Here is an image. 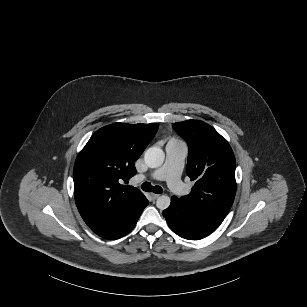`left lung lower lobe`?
Returning a JSON list of instances; mask_svg holds the SVG:
<instances>
[{
  "instance_id": "obj_1",
  "label": "left lung lower lobe",
  "mask_w": 307,
  "mask_h": 307,
  "mask_svg": "<svg viewBox=\"0 0 307 307\" xmlns=\"http://www.w3.org/2000/svg\"><path fill=\"white\" fill-rule=\"evenodd\" d=\"M169 227L180 237L199 240L211 234L217 227L200 219L188 210L182 201L173 196L170 206L163 211Z\"/></svg>"
}]
</instances>
